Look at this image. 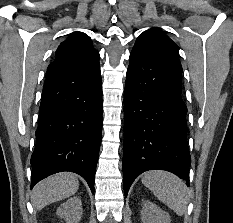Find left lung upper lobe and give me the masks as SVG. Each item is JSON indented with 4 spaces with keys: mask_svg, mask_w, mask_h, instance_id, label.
<instances>
[{
    "mask_svg": "<svg viewBox=\"0 0 233 223\" xmlns=\"http://www.w3.org/2000/svg\"><path fill=\"white\" fill-rule=\"evenodd\" d=\"M136 42L144 43L147 47L151 48L163 58L181 67V63L178 58L179 47L160 29L152 28L144 31L138 37Z\"/></svg>",
    "mask_w": 233,
    "mask_h": 223,
    "instance_id": "5c2ea615",
    "label": "left lung upper lobe"
}]
</instances>
